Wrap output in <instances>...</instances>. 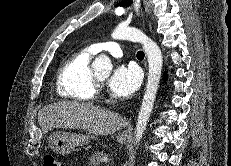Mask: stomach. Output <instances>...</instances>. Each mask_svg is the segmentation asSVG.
<instances>
[{"label": "stomach", "mask_w": 231, "mask_h": 166, "mask_svg": "<svg viewBox=\"0 0 231 166\" xmlns=\"http://www.w3.org/2000/svg\"><path fill=\"white\" fill-rule=\"evenodd\" d=\"M90 134H77L71 132H54L49 138V146L53 152L59 155H68L76 147L88 145L90 142ZM117 141L121 144L126 142V136L119 134Z\"/></svg>", "instance_id": "0dacf381"}]
</instances>
